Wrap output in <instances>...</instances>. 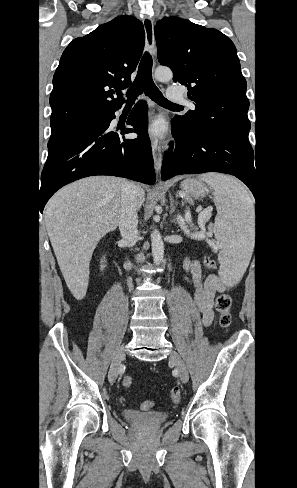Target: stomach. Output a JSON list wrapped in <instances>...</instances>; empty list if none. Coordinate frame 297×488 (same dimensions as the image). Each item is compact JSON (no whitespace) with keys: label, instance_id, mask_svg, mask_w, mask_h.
Masks as SVG:
<instances>
[{"label":"stomach","instance_id":"stomach-1","mask_svg":"<svg viewBox=\"0 0 297 488\" xmlns=\"http://www.w3.org/2000/svg\"><path fill=\"white\" fill-rule=\"evenodd\" d=\"M180 189L188 198L200 199L207 194V187L197 179L187 178L180 184Z\"/></svg>","mask_w":297,"mask_h":488}]
</instances>
